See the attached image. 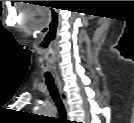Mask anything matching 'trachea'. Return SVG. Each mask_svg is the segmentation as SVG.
I'll list each match as a JSON object with an SVG mask.
<instances>
[{
  "label": "trachea",
  "mask_w": 134,
  "mask_h": 123,
  "mask_svg": "<svg viewBox=\"0 0 134 123\" xmlns=\"http://www.w3.org/2000/svg\"><path fill=\"white\" fill-rule=\"evenodd\" d=\"M45 79H46V84H47L48 90L50 92V95H51L52 99L54 100V102L58 108V112L60 115L59 119L63 120L65 118V115H66L65 108H64V105H63L62 100L60 98L57 87L54 83V80L49 72L45 73Z\"/></svg>",
  "instance_id": "3493384b"
}]
</instances>
